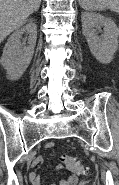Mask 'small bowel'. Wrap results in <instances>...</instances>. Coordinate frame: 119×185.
<instances>
[{
	"instance_id": "c3829d8e",
	"label": "small bowel",
	"mask_w": 119,
	"mask_h": 185,
	"mask_svg": "<svg viewBox=\"0 0 119 185\" xmlns=\"http://www.w3.org/2000/svg\"><path fill=\"white\" fill-rule=\"evenodd\" d=\"M55 144L53 142L47 143L46 147L48 149L54 148ZM43 160L41 157L34 159L31 163V167L35 168L30 174L29 179L32 185H43L40 174L38 173V168L42 164ZM77 177L76 175H69L64 179H60L57 183L51 185H76Z\"/></svg>"
}]
</instances>
